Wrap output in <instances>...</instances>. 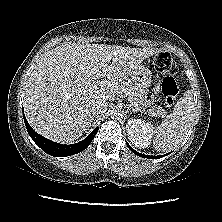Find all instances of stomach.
<instances>
[{
  "label": "stomach",
  "mask_w": 222,
  "mask_h": 222,
  "mask_svg": "<svg viewBox=\"0 0 222 222\" xmlns=\"http://www.w3.org/2000/svg\"><path fill=\"white\" fill-rule=\"evenodd\" d=\"M129 77L136 87L142 89L150 86L152 73L148 68L139 65Z\"/></svg>",
  "instance_id": "stomach-1"
}]
</instances>
